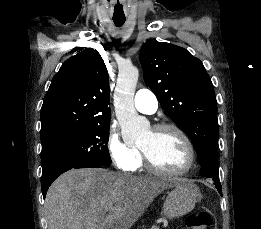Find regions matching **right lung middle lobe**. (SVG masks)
Masks as SVG:
<instances>
[{
  "label": "right lung middle lobe",
  "instance_id": "obj_1",
  "mask_svg": "<svg viewBox=\"0 0 261 229\" xmlns=\"http://www.w3.org/2000/svg\"><path fill=\"white\" fill-rule=\"evenodd\" d=\"M109 124L93 125L75 138L42 149V175L56 169L84 165L109 166Z\"/></svg>",
  "mask_w": 261,
  "mask_h": 229
}]
</instances>
